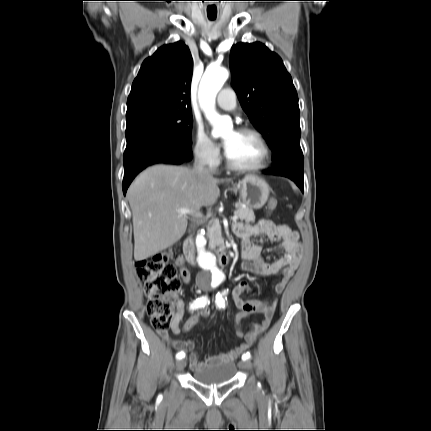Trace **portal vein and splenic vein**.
I'll return each instance as SVG.
<instances>
[{"label": "portal vein and splenic vein", "mask_w": 431, "mask_h": 431, "mask_svg": "<svg viewBox=\"0 0 431 431\" xmlns=\"http://www.w3.org/2000/svg\"><path fill=\"white\" fill-rule=\"evenodd\" d=\"M178 213L181 215H194L197 216V214L195 212H193L192 210L189 209H180L178 210ZM238 219V216L236 214L233 215L232 220L236 221Z\"/></svg>", "instance_id": "portal-vein-and-splenic-vein-1"}]
</instances>
